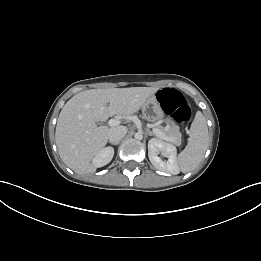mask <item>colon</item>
Listing matches in <instances>:
<instances>
[{
    "mask_svg": "<svg viewBox=\"0 0 261 261\" xmlns=\"http://www.w3.org/2000/svg\"><path fill=\"white\" fill-rule=\"evenodd\" d=\"M157 99L164 112L176 123L187 121L191 111L184 96L172 88H163L157 92Z\"/></svg>",
    "mask_w": 261,
    "mask_h": 261,
    "instance_id": "colon-1",
    "label": "colon"
}]
</instances>
